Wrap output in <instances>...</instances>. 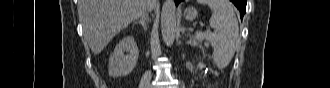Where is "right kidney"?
<instances>
[{"label":"right kidney","instance_id":"right-kidney-1","mask_svg":"<svg viewBox=\"0 0 330 88\" xmlns=\"http://www.w3.org/2000/svg\"><path fill=\"white\" fill-rule=\"evenodd\" d=\"M139 57L137 44L133 36L124 37L115 47L109 58L110 76H125L133 71Z\"/></svg>","mask_w":330,"mask_h":88}]
</instances>
